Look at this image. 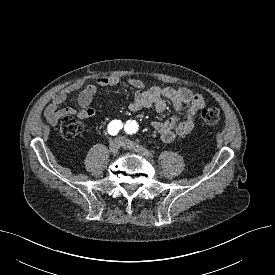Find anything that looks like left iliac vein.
I'll return each mask as SVG.
<instances>
[{
	"label": "left iliac vein",
	"instance_id": "1",
	"mask_svg": "<svg viewBox=\"0 0 275 275\" xmlns=\"http://www.w3.org/2000/svg\"><path fill=\"white\" fill-rule=\"evenodd\" d=\"M120 141H121V145L124 148H127L129 150H133V151L137 152L138 154H140L142 156H145V157H148V158L153 157V155L147 149L141 147L140 145H138L136 143H133V142H131L127 139H124V138H121Z\"/></svg>",
	"mask_w": 275,
	"mask_h": 275
}]
</instances>
